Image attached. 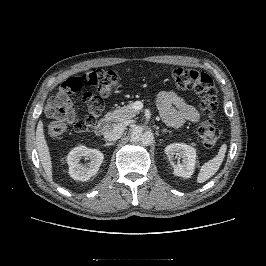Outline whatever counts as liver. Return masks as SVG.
<instances>
[{
  "label": "liver",
  "mask_w": 266,
  "mask_h": 266,
  "mask_svg": "<svg viewBox=\"0 0 266 266\" xmlns=\"http://www.w3.org/2000/svg\"><path fill=\"white\" fill-rule=\"evenodd\" d=\"M36 146L42 167L48 176V179L52 181V161L49 147L44 135V125L41 120L38 122L36 129Z\"/></svg>",
  "instance_id": "6515ba94"
}]
</instances>
